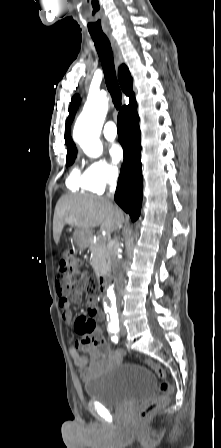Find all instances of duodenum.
Segmentation results:
<instances>
[{
    "label": "duodenum",
    "mask_w": 221,
    "mask_h": 448,
    "mask_svg": "<svg viewBox=\"0 0 221 448\" xmlns=\"http://www.w3.org/2000/svg\"><path fill=\"white\" fill-rule=\"evenodd\" d=\"M96 279L98 281L99 289L102 293L106 291L107 288V276L105 273H100L96 275Z\"/></svg>",
    "instance_id": "duodenum-1"
}]
</instances>
